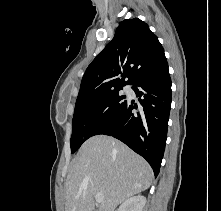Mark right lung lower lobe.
<instances>
[{
  "instance_id": "98d812e1",
  "label": "right lung lower lobe",
  "mask_w": 221,
  "mask_h": 211,
  "mask_svg": "<svg viewBox=\"0 0 221 211\" xmlns=\"http://www.w3.org/2000/svg\"><path fill=\"white\" fill-rule=\"evenodd\" d=\"M133 85L140 111L132 113L137 106L128 101L98 134L113 136L128 145L147 160L156 177L164 155L172 100L168 65L141 76Z\"/></svg>"
}]
</instances>
